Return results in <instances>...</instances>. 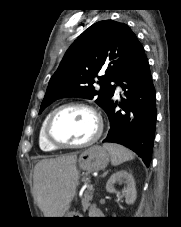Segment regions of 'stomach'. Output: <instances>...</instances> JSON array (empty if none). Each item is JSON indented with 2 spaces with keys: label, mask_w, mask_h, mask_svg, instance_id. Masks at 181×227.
Returning a JSON list of instances; mask_svg holds the SVG:
<instances>
[{
  "label": "stomach",
  "mask_w": 181,
  "mask_h": 227,
  "mask_svg": "<svg viewBox=\"0 0 181 227\" xmlns=\"http://www.w3.org/2000/svg\"><path fill=\"white\" fill-rule=\"evenodd\" d=\"M110 161L109 152L98 145L92 146L83 151L78 158V166L86 172H95L106 168ZM64 217H78L76 213L69 212Z\"/></svg>",
  "instance_id": "stomach-1"
}]
</instances>
